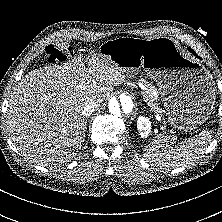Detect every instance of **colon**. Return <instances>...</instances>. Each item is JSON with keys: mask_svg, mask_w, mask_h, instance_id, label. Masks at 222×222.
<instances>
[{"mask_svg": "<svg viewBox=\"0 0 222 222\" xmlns=\"http://www.w3.org/2000/svg\"><path fill=\"white\" fill-rule=\"evenodd\" d=\"M64 58H65L64 53L53 46H48L45 49V52L43 55L44 61L48 64L57 63L59 61H62Z\"/></svg>", "mask_w": 222, "mask_h": 222, "instance_id": "obj_1", "label": "colon"}]
</instances>
